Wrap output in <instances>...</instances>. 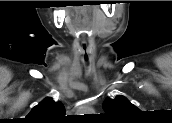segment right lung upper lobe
I'll return each instance as SVG.
<instances>
[{"label": "right lung upper lobe", "mask_w": 172, "mask_h": 123, "mask_svg": "<svg viewBox=\"0 0 172 123\" xmlns=\"http://www.w3.org/2000/svg\"><path fill=\"white\" fill-rule=\"evenodd\" d=\"M64 115L63 104L47 97L31 110L25 121L28 123H58L65 119Z\"/></svg>", "instance_id": "1"}]
</instances>
